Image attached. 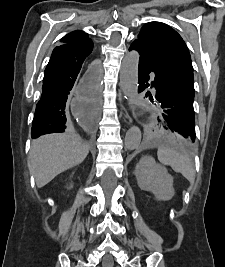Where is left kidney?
<instances>
[{"label": "left kidney", "instance_id": "5707ae66", "mask_svg": "<svg viewBox=\"0 0 225 267\" xmlns=\"http://www.w3.org/2000/svg\"><path fill=\"white\" fill-rule=\"evenodd\" d=\"M134 174L140 189L152 192L157 200L168 201L174 196L173 177L151 156L141 158Z\"/></svg>", "mask_w": 225, "mask_h": 267}]
</instances>
